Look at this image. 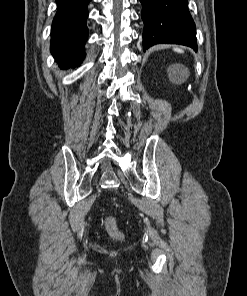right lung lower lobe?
Returning <instances> with one entry per match:
<instances>
[{"instance_id": "1", "label": "right lung lower lobe", "mask_w": 247, "mask_h": 296, "mask_svg": "<svg viewBox=\"0 0 247 296\" xmlns=\"http://www.w3.org/2000/svg\"><path fill=\"white\" fill-rule=\"evenodd\" d=\"M89 2L90 0H56L58 10L51 29V53L63 68L78 66L85 56Z\"/></svg>"}]
</instances>
